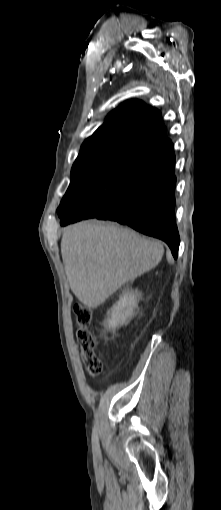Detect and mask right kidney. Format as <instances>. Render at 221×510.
Wrapping results in <instances>:
<instances>
[{
    "label": "right kidney",
    "instance_id": "ca27d5eb",
    "mask_svg": "<svg viewBox=\"0 0 221 510\" xmlns=\"http://www.w3.org/2000/svg\"><path fill=\"white\" fill-rule=\"evenodd\" d=\"M138 299L137 291H124L119 297V301L110 310L109 327L116 328L130 319L137 307Z\"/></svg>",
    "mask_w": 221,
    "mask_h": 510
}]
</instances>
